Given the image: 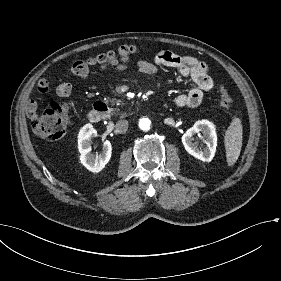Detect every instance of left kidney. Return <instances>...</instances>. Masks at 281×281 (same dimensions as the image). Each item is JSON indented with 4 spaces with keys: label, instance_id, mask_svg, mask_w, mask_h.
<instances>
[{
    "label": "left kidney",
    "instance_id": "5707ae66",
    "mask_svg": "<svg viewBox=\"0 0 281 281\" xmlns=\"http://www.w3.org/2000/svg\"><path fill=\"white\" fill-rule=\"evenodd\" d=\"M200 133L204 136L205 148H199L198 143L192 141L193 136ZM182 143L189 154L203 162H210L216 150V133L213 124L206 120L196 122L182 136Z\"/></svg>",
    "mask_w": 281,
    "mask_h": 281
}]
</instances>
